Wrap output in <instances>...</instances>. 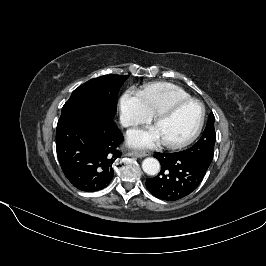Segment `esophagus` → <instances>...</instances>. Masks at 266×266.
<instances>
[{
  "label": "esophagus",
  "mask_w": 266,
  "mask_h": 266,
  "mask_svg": "<svg viewBox=\"0 0 266 266\" xmlns=\"http://www.w3.org/2000/svg\"><path fill=\"white\" fill-rule=\"evenodd\" d=\"M149 155H150L149 152L132 151L128 153V156L138 157V158H142V157L149 156Z\"/></svg>",
  "instance_id": "34e87169"
}]
</instances>
